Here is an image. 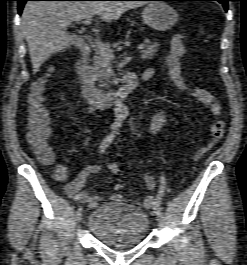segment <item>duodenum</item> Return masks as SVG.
<instances>
[{
  "label": "duodenum",
  "mask_w": 247,
  "mask_h": 265,
  "mask_svg": "<svg viewBox=\"0 0 247 265\" xmlns=\"http://www.w3.org/2000/svg\"><path fill=\"white\" fill-rule=\"evenodd\" d=\"M90 48L85 45L76 57V71L84 96L93 104L108 108L112 104L121 103L125 97L137 86L136 78L131 71H125L122 76V86L116 91H102L98 89L90 73ZM143 80L149 78L143 77Z\"/></svg>",
  "instance_id": "duodenum-1"
}]
</instances>
